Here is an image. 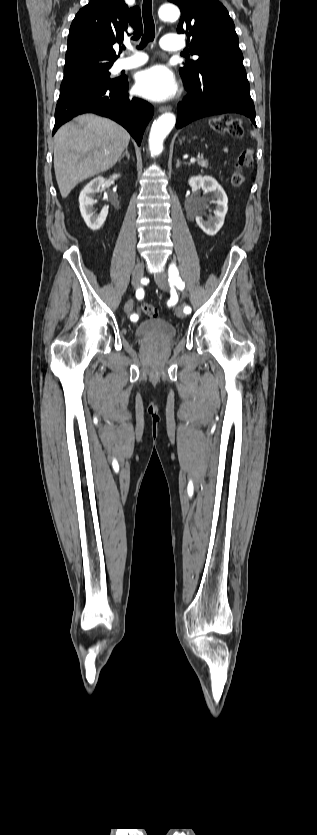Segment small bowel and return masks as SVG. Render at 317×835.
Listing matches in <instances>:
<instances>
[{"mask_svg": "<svg viewBox=\"0 0 317 835\" xmlns=\"http://www.w3.org/2000/svg\"><path fill=\"white\" fill-rule=\"evenodd\" d=\"M130 306H132V309H133L134 303H133V301H132V300H131V302H129V303L127 304V307H128V308H130ZM132 309H131V311H132ZM134 314H135V315H137L136 313H134ZM137 316H138V315H137Z\"/></svg>", "mask_w": 317, "mask_h": 835, "instance_id": "1", "label": "small bowel"}]
</instances>
